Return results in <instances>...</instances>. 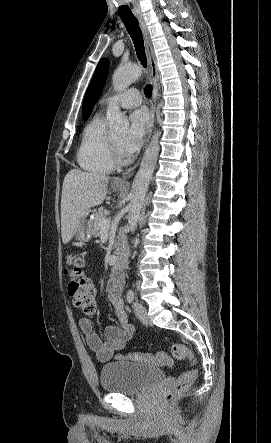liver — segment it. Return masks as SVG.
<instances>
[{"label": "liver", "mask_w": 271, "mask_h": 443, "mask_svg": "<svg viewBox=\"0 0 271 443\" xmlns=\"http://www.w3.org/2000/svg\"><path fill=\"white\" fill-rule=\"evenodd\" d=\"M109 176L88 174L81 170H70L63 182L61 196V235L63 243H68L75 235L83 216L90 208L103 204Z\"/></svg>", "instance_id": "liver-1"}]
</instances>
